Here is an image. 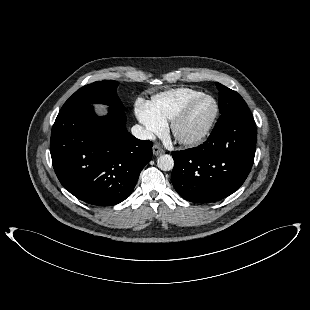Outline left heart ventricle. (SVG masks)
I'll use <instances>...</instances> for the list:
<instances>
[{
	"instance_id": "obj_1",
	"label": "left heart ventricle",
	"mask_w": 310,
	"mask_h": 310,
	"mask_svg": "<svg viewBox=\"0 0 310 310\" xmlns=\"http://www.w3.org/2000/svg\"><path fill=\"white\" fill-rule=\"evenodd\" d=\"M213 110V102L209 99L196 103L179 127L181 135L188 137L197 134L205 126Z\"/></svg>"
}]
</instances>
